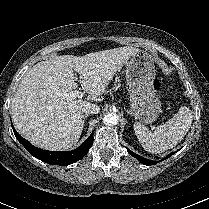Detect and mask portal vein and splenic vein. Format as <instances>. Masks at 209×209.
<instances>
[{
    "mask_svg": "<svg viewBox=\"0 0 209 209\" xmlns=\"http://www.w3.org/2000/svg\"><path fill=\"white\" fill-rule=\"evenodd\" d=\"M60 95L63 98L73 100V99H76L77 97H79L81 95V92L75 90V91H70L69 93H62Z\"/></svg>",
    "mask_w": 209,
    "mask_h": 209,
    "instance_id": "obj_1",
    "label": "portal vein and splenic vein"
}]
</instances>
